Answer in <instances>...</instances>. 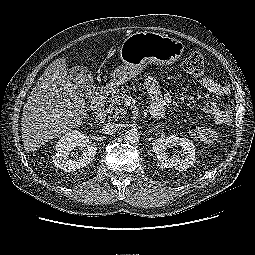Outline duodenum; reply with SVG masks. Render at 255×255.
Returning a JSON list of instances; mask_svg holds the SVG:
<instances>
[{"instance_id": "duodenum-1", "label": "duodenum", "mask_w": 255, "mask_h": 255, "mask_svg": "<svg viewBox=\"0 0 255 255\" xmlns=\"http://www.w3.org/2000/svg\"><path fill=\"white\" fill-rule=\"evenodd\" d=\"M111 92L109 85H101L96 90L91 100V110L94 120L98 123H103L107 119V113L104 108V102Z\"/></svg>"}]
</instances>
